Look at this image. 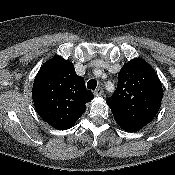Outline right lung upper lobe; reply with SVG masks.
<instances>
[{"instance_id": "1", "label": "right lung upper lobe", "mask_w": 175, "mask_h": 175, "mask_svg": "<svg viewBox=\"0 0 175 175\" xmlns=\"http://www.w3.org/2000/svg\"><path fill=\"white\" fill-rule=\"evenodd\" d=\"M93 94L73 64L56 56L37 73L32 98L38 114L52 127L67 130L82 116Z\"/></svg>"}]
</instances>
